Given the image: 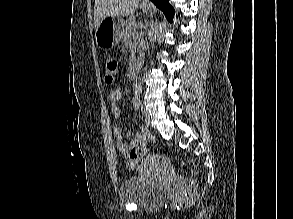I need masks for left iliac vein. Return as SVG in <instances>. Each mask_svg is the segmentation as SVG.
I'll use <instances>...</instances> for the list:
<instances>
[{
  "label": "left iliac vein",
  "instance_id": "4c4485c4",
  "mask_svg": "<svg viewBox=\"0 0 293 219\" xmlns=\"http://www.w3.org/2000/svg\"><path fill=\"white\" fill-rule=\"evenodd\" d=\"M141 108H142V113H143V116H144L145 122H146L147 124H150V115H149L148 111L144 108L143 105L141 106Z\"/></svg>",
  "mask_w": 293,
  "mask_h": 219
}]
</instances>
